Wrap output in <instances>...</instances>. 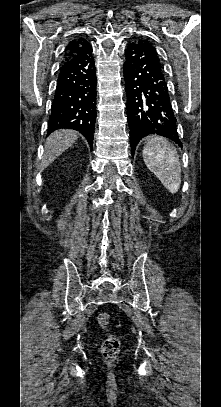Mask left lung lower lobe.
<instances>
[{
	"label": "left lung lower lobe",
	"mask_w": 221,
	"mask_h": 407,
	"mask_svg": "<svg viewBox=\"0 0 221 407\" xmlns=\"http://www.w3.org/2000/svg\"><path fill=\"white\" fill-rule=\"evenodd\" d=\"M124 77L132 155L138 142L149 134L164 136L181 146L164 68L151 44L140 40L127 47Z\"/></svg>",
	"instance_id": "obj_1"
}]
</instances>
